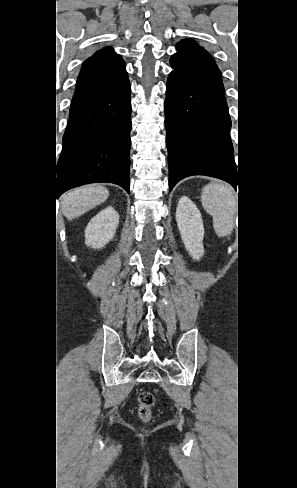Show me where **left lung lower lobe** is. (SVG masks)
<instances>
[{
  "label": "left lung lower lobe",
  "mask_w": 297,
  "mask_h": 488,
  "mask_svg": "<svg viewBox=\"0 0 297 488\" xmlns=\"http://www.w3.org/2000/svg\"><path fill=\"white\" fill-rule=\"evenodd\" d=\"M165 126L170 190L192 175L215 177L236 189L238 172L232 154L231 120L224 100L170 73Z\"/></svg>",
  "instance_id": "0a47b994"
}]
</instances>
